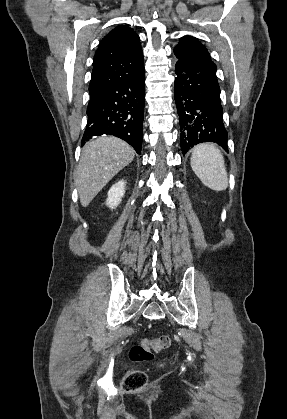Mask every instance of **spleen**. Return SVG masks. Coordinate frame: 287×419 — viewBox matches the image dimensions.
<instances>
[{
    "label": "spleen",
    "instance_id": "spleen-1",
    "mask_svg": "<svg viewBox=\"0 0 287 419\" xmlns=\"http://www.w3.org/2000/svg\"><path fill=\"white\" fill-rule=\"evenodd\" d=\"M190 161L192 170L205 186L215 191L226 190L228 176L224 157L214 144L195 146Z\"/></svg>",
    "mask_w": 287,
    "mask_h": 419
}]
</instances>
